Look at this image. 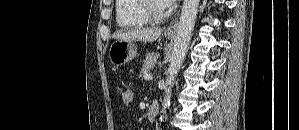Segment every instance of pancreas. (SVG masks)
Returning a JSON list of instances; mask_svg holds the SVG:
<instances>
[{"label": "pancreas", "mask_w": 299, "mask_h": 130, "mask_svg": "<svg viewBox=\"0 0 299 130\" xmlns=\"http://www.w3.org/2000/svg\"><path fill=\"white\" fill-rule=\"evenodd\" d=\"M158 57L159 54H155V53L147 54L144 59V64L141 68V72L143 74L148 73V71L155 66Z\"/></svg>", "instance_id": "obj_1"}]
</instances>
